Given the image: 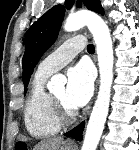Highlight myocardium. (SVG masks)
Here are the masks:
<instances>
[{
    "mask_svg": "<svg viewBox=\"0 0 139 150\" xmlns=\"http://www.w3.org/2000/svg\"><path fill=\"white\" fill-rule=\"evenodd\" d=\"M49 106L51 115L54 121L60 125L65 126L71 124L76 119L75 110H67L58 102L52 94H48Z\"/></svg>",
    "mask_w": 139,
    "mask_h": 150,
    "instance_id": "myocardium-1",
    "label": "myocardium"
}]
</instances>
